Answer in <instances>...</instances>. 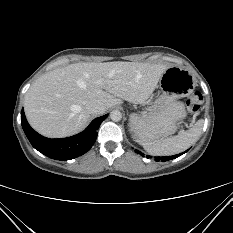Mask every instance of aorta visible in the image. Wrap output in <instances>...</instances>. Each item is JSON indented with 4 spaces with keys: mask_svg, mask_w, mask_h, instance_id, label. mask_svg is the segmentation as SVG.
<instances>
[{
    "mask_svg": "<svg viewBox=\"0 0 233 233\" xmlns=\"http://www.w3.org/2000/svg\"><path fill=\"white\" fill-rule=\"evenodd\" d=\"M110 118L112 121L114 122H118L121 120L122 118V113L119 111V110H113L111 113H110Z\"/></svg>",
    "mask_w": 233,
    "mask_h": 233,
    "instance_id": "762f6f07",
    "label": "aorta"
}]
</instances>
